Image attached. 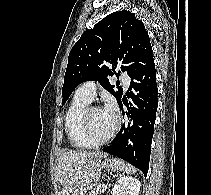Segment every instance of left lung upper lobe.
<instances>
[{
	"label": "left lung upper lobe",
	"instance_id": "left-lung-upper-lobe-1",
	"mask_svg": "<svg viewBox=\"0 0 211 195\" xmlns=\"http://www.w3.org/2000/svg\"><path fill=\"white\" fill-rule=\"evenodd\" d=\"M152 58L149 35L142 21L126 10L107 15L86 30L72 47L62 88V104L80 83L90 80L98 81L120 104L123 91H114L109 82L115 68L120 67V71L133 77Z\"/></svg>",
	"mask_w": 211,
	"mask_h": 195
}]
</instances>
